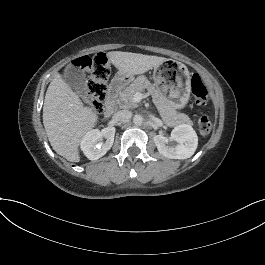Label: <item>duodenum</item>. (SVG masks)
Here are the masks:
<instances>
[{"instance_id": "410a0bca", "label": "duodenum", "mask_w": 265, "mask_h": 265, "mask_svg": "<svg viewBox=\"0 0 265 265\" xmlns=\"http://www.w3.org/2000/svg\"><path fill=\"white\" fill-rule=\"evenodd\" d=\"M126 84V79L119 77L114 79L109 85L107 97L105 101V116L110 117L116 110L117 107V98Z\"/></svg>"}]
</instances>
